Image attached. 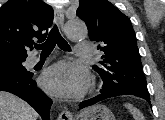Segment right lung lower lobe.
Returning a JSON list of instances; mask_svg holds the SVG:
<instances>
[{
	"label": "right lung lower lobe",
	"instance_id": "obj_1",
	"mask_svg": "<svg viewBox=\"0 0 165 120\" xmlns=\"http://www.w3.org/2000/svg\"><path fill=\"white\" fill-rule=\"evenodd\" d=\"M0 91H7L22 98L31 105L43 120H50L52 100L37 87L33 74L16 75L0 73Z\"/></svg>",
	"mask_w": 165,
	"mask_h": 120
}]
</instances>
